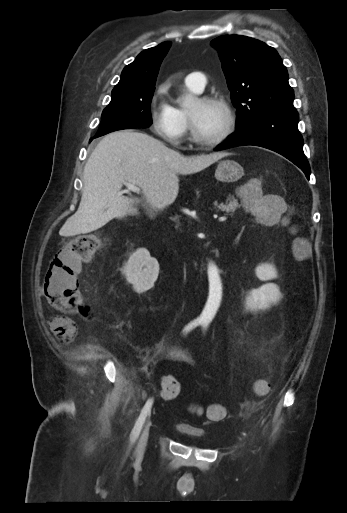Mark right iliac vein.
Segmentation results:
<instances>
[{"mask_svg": "<svg viewBox=\"0 0 347 513\" xmlns=\"http://www.w3.org/2000/svg\"><path fill=\"white\" fill-rule=\"evenodd\" d=\"M149 426H150V423H149V421H147L145 428H144V430L140 436L139 442H138V446H137L138 454H142L145 450L147 440H148Z\"/></svg>", "mask_w": 347, "mask_h": 513, "instance_id": "1", "label": "right iliac vein"}]
</instances>
